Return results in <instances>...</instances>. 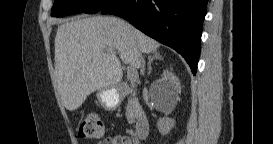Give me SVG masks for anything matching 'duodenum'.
<instances>
[{
  "instance_id": "410a0bca",
  "label": "duodenum",
  "mask_w": 273,
  "mask_h": 144,
  "mask_svg": "<svg viewBox=\"0 0 273 144\" xmlns=\"http://www.w3.org/2000/svg\"><path fill=\"white\" fill-rule=\"evenodd\" d=\"M119 91L123 93H130L131 89L126 85H122L119 88ZM135 111H136V121H135V128H134L135 135L139 140H144L148 137L150 132L149 118L142 111V109L137 103L135 104Z\"/></svg>"
}]
</instances>
